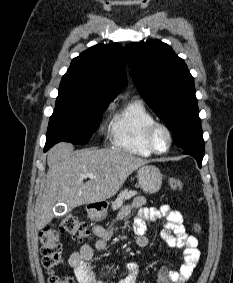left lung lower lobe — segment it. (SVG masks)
<instances>
[{"label": "left lung lower lobe", "instance_id": "left-lung-lower-lobe-1", "mask_svg": "<svg viewBox=\"0 0 233 283\" xmlns=\"http://www.w3.org/2000/svg\"><path fill=\"white\" fill-rule=\"evenodd\" d=\"M184 154H188V155L193 156L197 160L199 167H201L202 159H203V156H204V149L203 150L188 149V150H185Z\"/></svg>", "mask_w": 233, "mask_h": 283}]
</instances>
